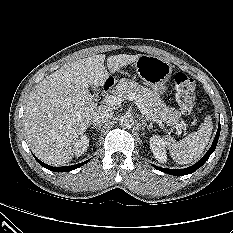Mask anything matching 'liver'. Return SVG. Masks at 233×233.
Here are the masks:
<instances>
[{"instance_id": "6515ba94", "label": "liver", "mask_w": 233, "mask_h": 233, "mask_svg": "<svg viewBox=\"0 0 233 233\" xmlns=\"http://www.w3.org/2000/svg\"><path fill=\"white\" fill-rule=\"evenodd\" d=\"M141 55H94L63 65L30 93L23 117L27 141L35 155L49 165H64L74 145L97 111L89 86H102L109 75L136 62Z\"/></svg>"}]
</instances>
